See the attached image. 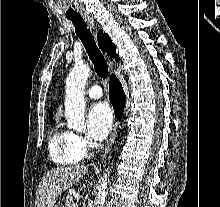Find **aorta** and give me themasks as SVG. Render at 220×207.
Listing matches in <instances>:
<instances>
[{
	"mask_svg": "<svg viewBox=\"0 0 220 207\" xmlns=\"http://www.w3.org/2000/svg\"><path fill=\"white\" fill-rule=\"evenodd\" d=\"M90 74V67L83 63L76 64L66 79L65 118L70 129L81 132L85 124L84 89ZM109 183V169L100 180L95 198V207H103Z\"/></svg>",
	"mask_w": 220,
	"mask_h": 207,
	"instance_id": "aorta-1",
	"label": "aorta"
}]
</instances>
